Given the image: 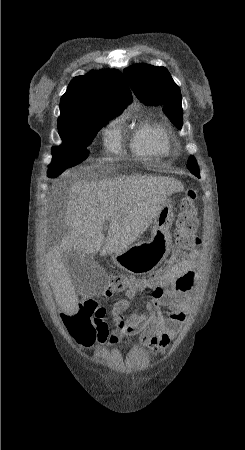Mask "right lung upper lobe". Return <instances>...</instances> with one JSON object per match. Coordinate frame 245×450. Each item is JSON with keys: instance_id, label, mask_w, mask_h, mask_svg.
I'll use <instances>...</instances> for the list:
<instances>
[{"instance_id": "obj_1", "label": "right lung upper lobe", "mask_w": 245, "mask_h": 450, "mask_svg": "<svg viewBox=\"0 0 245 450\" xmlns=\"http://www.w3.org/2000/svg\"><path fill=\"white\" fill-rule=\"evenodd\" d=\"M132 95L126 80L116 69L91 71L69 83L60 101V117L76 114L95 104L127 107Z\"/></svg>"}]
</instances>
